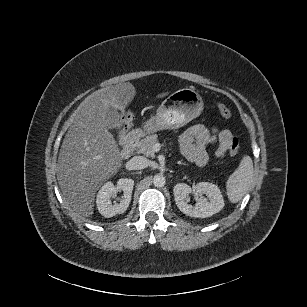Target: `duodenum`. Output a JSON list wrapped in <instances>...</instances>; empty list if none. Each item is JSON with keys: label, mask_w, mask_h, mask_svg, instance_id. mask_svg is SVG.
Returning <instances> with one entry per match:
<instances>
[{"label": "duodenum", "mask_w": 307, "mask_h": 307, "mask_svg": "<svg viewBox=\"0 0 307 307\" xmlns=\"http://www.w3.org/2000/svg\"><path fill=\"white\" fill-rule=\"evenodd\" d=\"M141 132L139 130H133L127 134L124 139L123 147L121 150V156L123 159H128L132 156L135 145L140 137Z\"/></svg>", "instance_id": "1"}]
</instances>
